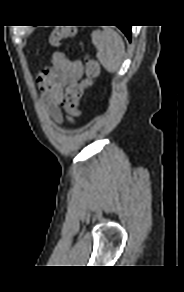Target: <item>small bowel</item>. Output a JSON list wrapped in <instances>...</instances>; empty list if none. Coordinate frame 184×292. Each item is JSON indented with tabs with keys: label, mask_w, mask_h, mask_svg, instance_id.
<instances>
[{
	"label": "small bowel",
	"mask_w": 184,
	"mask_h": 292,
	"mask_svg": "<svg viewBox=\"0 0 184 292\" xmlns=\"http://www.w3.org/2000/svg\"><path fill=\"white\" fill-rule=\"evenodd\" d=\"M51 66L45 68L38 77L45 107L57 122L63 121L60 108L66 87L80 81L83 67L80 61L71 60L64 52H55Z\"/></svg>",
	"instance_id": "small-bowel-1"
}]
</instances>
